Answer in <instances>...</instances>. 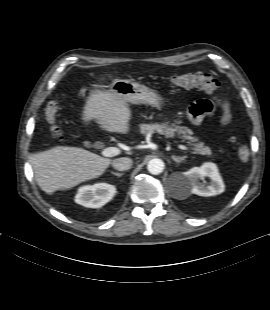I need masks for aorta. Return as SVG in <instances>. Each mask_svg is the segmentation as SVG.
Segmentation results:
<instances>
[{"label":"aorta","instance_id":"762f6f07","mask_svg":"<svg viewBox=\"0 0 270 310\" xmlns=\"http://www.w3.org/2000/svg\"><path fill=\"white\" fill-rule=\"evenodd\" d=\"M148 171L153 175H158L163 172L164 163L161 159H152L147 165Z\"/></svg>","mask_w":270,"mask_h":310}]
</instances>
